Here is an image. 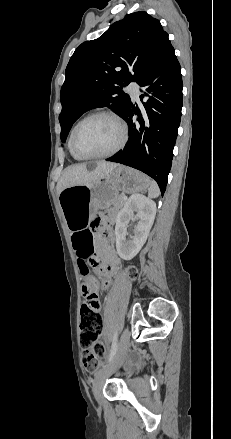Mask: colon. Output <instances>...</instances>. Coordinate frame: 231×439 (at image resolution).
Segmentation results:
<instances>
[{
  "label": "colon",
  "instance_id": "1",
  "mask_svg": "<svg viewBox=\"0 0 231 439\" xmlns=\"http://www.w3.org/2000/svg\"><path fill=\"white\" fill-rule=\"evenodd\" d=\"M98 220L109 223V220L105 216L98 217L96 221ZM93 264V260L90 259L83 271H87L88 267ZM85 289H91V285L86 284ZM102 326V315L89 305H82L80 320V343L83 348V364L87 371L96 370L99 366L100 359L106 353L104 345L99 342V338L102 333Z\"/></svg>",
  "mask_w": 231,
  "mask_h": 439
}]
</instances>
